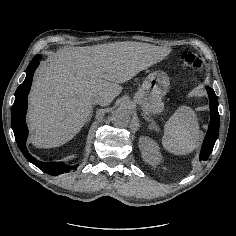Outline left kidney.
I'll return each instance as SVG.
<instances>
[{"instance_id":"5707ae66","label":"left kidney","mask_w":236,"mask_h":236,"mask_svg":"<svg viewBox=\"0 0 236 236\" xmlns=\"http://www.w3.org/2000/svg\"><path fill=\"white\" fill-rule=\"evenodd\" d=\"M139 149L141 151L143 160L152 166L161 163L162 155L158 144L147 136L139 138Z\"/></svg>"}]
</instances>
